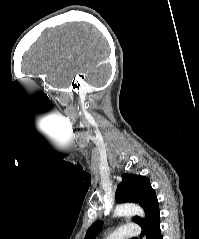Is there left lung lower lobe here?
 I'll use <instances>...</instances> for the list:
<instances>
[{"label": "left lung lower lobe", "mask_w": 199, "mask_h": 239, "mask_svg": "<svg viewBox=\"0 0 199 239\" xmlns=\"http://www.w3.org/2000/svg\"><path fill=\"white\" fill-rule=\"evenodd\" d=\"M159 219L160 212L158 211L153 215L150 221L144 227H142L147 239H163L161 235Z\"/></svg>", "instance_id": "left-lung-lower-lobe-1"}]
</instances>
